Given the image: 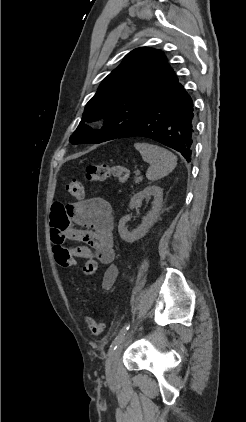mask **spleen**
<instances>
[{"label": "spleen", "mask_w": 246, "mask_h": 422, "mask_svg": "<svg viewBox=\"0 0 246 422\" xmlns=\"http://www.w3.org/2000/svg\"><path fill=\"white\" fill-rule=\"evenodd\" d=\"M134 147L140 152L145 162L150 164L146 177L156 181L168 175L177 165V157L169 150L149 143H135Z\"/></svg>", "instance_id": "obj_1"}]
</instances>
